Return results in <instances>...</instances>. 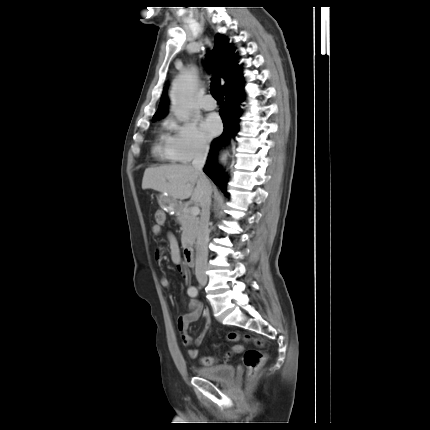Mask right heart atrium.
<instances>
[{
	"instance_id": "d8ad5b80",
	"label": "right heart atrium",
	"mask_w": 430,
	"mask_h": 430,
	"mask_svg": "<svg viewBox=\"0 0 430 430\" xmlns=\"http://www.w3.org/2000/svg\"><path fill=\"white\" fill-rule=\"evenodd\" d=\"M165 153L169 160L187 163L205 155L209 146L197 125L190 121L170 118L166 122Z\"/></svg>"
}]
</instances>
